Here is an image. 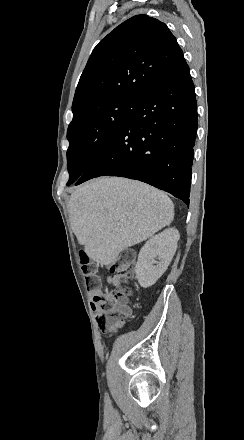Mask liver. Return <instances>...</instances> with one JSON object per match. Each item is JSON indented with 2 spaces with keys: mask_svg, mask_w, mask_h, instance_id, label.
Masks as SVG:
<instances>
[{
  "mask_svg": "<svg viewBox=\"0 0 244 440\" xmlns=\"http://www.w3.org/2000/svg\"><path fill=\"white\" fill-rule=\"evenodd\" d=\"M71 228L88 258L110 266L124 248L170 226L174 206L164 192L127 178H95L69 202Z\"/></svg>",
  "mask_w": 244,
  "mask_h": 440,
  "instance_id": "obj_1",
  "label": "liver"
}]
</instances>
